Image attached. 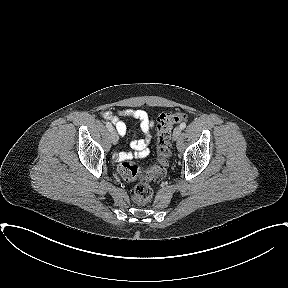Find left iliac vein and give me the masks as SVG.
<instances>
[{
	"instance_id": "1",
	"label": "left iliac vein",
	"mask_w": 288,
	"mask_h": 288,
	"mask_svg": "<svg viewBox=\"0 0 288 288\" xmlns=\"http://www.w3.org/2000/svg\"><path fill=\"white\" fill-rule=\"evenodd\" d=\"M181 128L180 127H176L173 131V139L177 140L179 138V136L181 135Z\"/></svg>"
}]
</instances>
